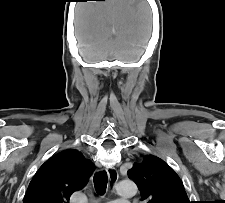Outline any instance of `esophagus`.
Listing matches in <instances>:
<instances>
[{
    "label": "esophagus",
    "instance_id": "obj_1",
    "mask_svg": "<svg viewBox=\"0 0 225 203\" xmlns=\"http://www.w3.org/2000/svg\"><path fill=\"white\" fill-rule=\"evenodd\" d=\"M107 173L111 183L114 185L118 180V172L114 167L107 168Z\"/></svg>",
    "mask_w": 225,
    "mask_h": 203
}]
</instances>
